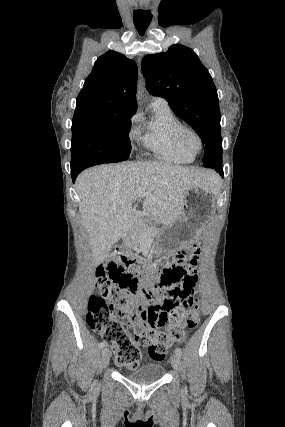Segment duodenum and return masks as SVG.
<instances>
[{
    "label": "duodenum",
    "mask_w": 285,
    "mask_h": 427,
    "mask_svg": "<svg viewBox=\"0 0 285 427\" xmlns=\"http://www.w3.org/2000/svg\"><path fill=\"white\" fill-rule=\"evenodd\" d=\"M131 229L134 230L137 233H142L143 232V228L141 226H132Z\"/></svg>",
    "instance_id": "410a0bca"
}]
</instances>
